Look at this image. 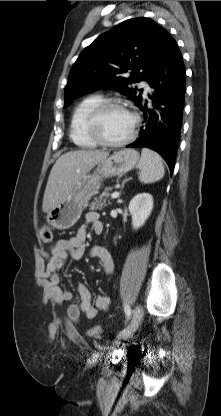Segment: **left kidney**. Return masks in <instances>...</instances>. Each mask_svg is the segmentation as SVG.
<instances>
[{"mask_svg":"<svg viewBox=\"0 0 221 416\" xmlns=\"http://www.w3.org/2000/svg\"><path fill=\"white\" fill-rule=\"evenodd\" d=\"M153 209V197L149 193L137 194L129 203L133 228L139 229L145 224Z\"/></svg>","mask_w":221,"mask_h":416,"instance_id":"obj_1","label":"left kidney"}]
</instances>
